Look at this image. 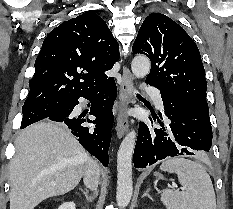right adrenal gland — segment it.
Wrapping results in <instances>:
<instances>
[{"label":"right adrenal gland","instance_id":"2a0ac1e0","mask_svg":"<svg viewBox=\"0 0 233 209\" xmlns=\"http://www.w3.org/2000/svg\"><path fill=\"white\" fill-rule=\"evenodd\" d=\"M79 190H80V191L82 192V194L85 196L86 201H87L88 203L92 202L93 199L95 198V194H93V195L90 196L86 190H84V189H82V188H79Z\"/></svg>","mask_w":233,"mask_h":209}]
</instances>
